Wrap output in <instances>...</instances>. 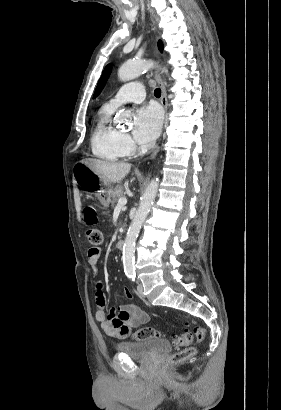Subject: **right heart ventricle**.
Segmentation results:
<instances>
[{"label":"right heart ventricle","instance_id":"1","mask_svg":"<svg viewBox=\"0 0 281 410\" xmlns=\"http://www.w3.org/2000/svg\"><path fill=\"white\" fill-rule=\"evenodd\" d=\"M113 112L105 106L99 111L90 139L93 155L109 162L122 160L128 155L122 133L111 124Z\"/></svg>","mask_w":281,"mask_h":410}]
</instances>
